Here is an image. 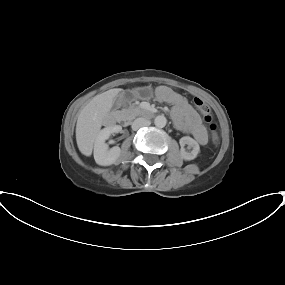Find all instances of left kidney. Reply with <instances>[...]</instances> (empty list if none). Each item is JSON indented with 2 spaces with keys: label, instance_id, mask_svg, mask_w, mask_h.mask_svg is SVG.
I'll return each instance as SVG.
<instances>
[{
  "label": "left kidney",
  "instance_id": "5707ae66",
  "mask_svg": "<svg viewBox=\"0 0 285 285\" xmlns=\"http://www.w3.org/2000/svg\"><path fill=\"white\" fill-rule=\"evenodd\" d=\"M181 150L180 155L184 160L190 161L197 157L200 146L193 138L189 136H184L179 140ZM185 145H188V148H192L191 152H187L184 148Z\"/></svg>",
  "mask_w": 285,
  "mask_h": 285
}]
</instances>
